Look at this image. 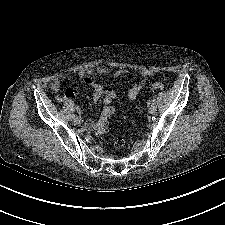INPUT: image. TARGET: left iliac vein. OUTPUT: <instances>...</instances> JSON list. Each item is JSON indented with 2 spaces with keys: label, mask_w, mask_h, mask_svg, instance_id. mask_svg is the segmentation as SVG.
I'll return each instance as SVG.
<instances>
[{
  "label": "left iliac vein",
  "mask_w": 225,
  "mask_h": 225,
  "mask_svg": "<svg viewBox=\"0 0 225 225\" xmlns=\"http://www.w3.org/2000/svg\"><path fill=\"white\" fill-rule=\"evenodd\" d=\"M149 112L150 114H154L156 112V104H151Z\"/></svg>",
  "instance_id": "4c4485c4"
}]
</instances>
